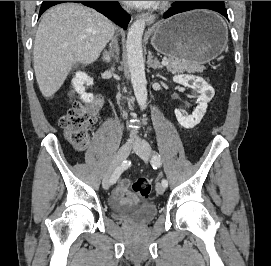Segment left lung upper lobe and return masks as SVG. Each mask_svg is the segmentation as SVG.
<instances>
[{
	"label": "left lung upper lobe",
	"instance_id": "left-lung-upper-lobe-1",
	"mask_svg": "<svg viewBox=\"0 0 271 266\" xmlns=\"http://www.w3.org/2000/svg\"><path fill=\"white\" fill-rule=\"evenodd\" d=\"M199 4L203 7L213 8L220 11H226L224 1H184Z\"/></svg>",
	"mask_w": 271,
	"mask_h": 266
}]
</instances>
